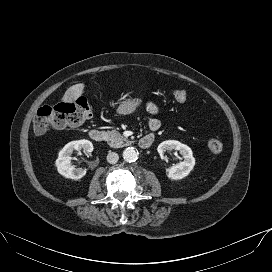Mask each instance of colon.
<instances>
[{"mask_svg":"<svg viewBox=\"0 0 272 272\" xmlns=\"http://www.w3.org/2000/svg\"><path fill=\"white\" fill-rule=\"evenodd\" d=\"M173 98L179 102H186L189 94L184 89H175ZM92 115V108L86 99L75 102H61L54 106H42L38 109L34 119V132L37 135L45 134L51 127L66 128L76 127L86 122ZM208 149L213 153L223 150V142L217 137H212L207 142Z\"/></svg>","mask_w":272,"mask_h":272,"instance_id":"1","label":"colon"}]
</instances>
